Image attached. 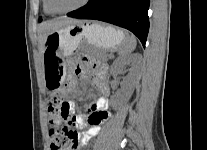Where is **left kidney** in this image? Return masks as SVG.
<instances>
[{
    "label": "left kidney",
    "mask_w": 207,
    "mask_h": 150,
    "mask_svg": "<svg viewBox=\"0 0 207 150\" xmlns=\"http://www.w3.org/2000/svg\"><path fill=\"white\" fill-rule=\"evenodd\" d=\"M140 59L141 57L138 54L122 56L117 58L111 67V72L113 74H118L121 68L126 65H130L132 67L130 74L124 80L123 89L112 98V106L115 110L125 103L134 91L135 74L140 63Z\"/></svg>",
    "instance_id": "obj_1"
}]
</instances>
